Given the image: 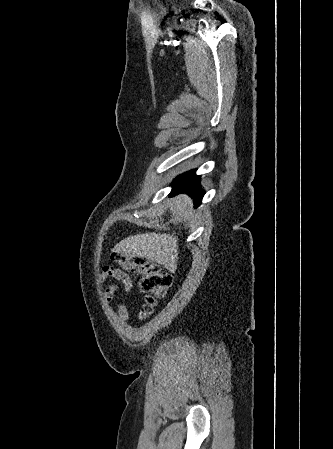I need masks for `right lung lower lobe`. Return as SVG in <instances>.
I'll return each instance as SVG.
<instances>
[{
	"mask_svg": "<svg viewBox=\"0 0 333 449\" xmlns=\"http://www.w3.org/2000/svg\"><path fill=\"white\" fill-rule=\"evenodd\" d=\"M196 170L180 175L172 184L171 195L188 193L194 198L195 207L201 204L204 191L200 188V176L195 174Z\"/></svg>",
	"mask_w": 333,
	"mask_h": 449,
	"instance_id": "right-lung-lower-lobe-1",
	"label": "right lung lower lobe"
}]
</instances>
